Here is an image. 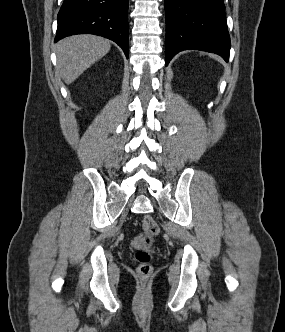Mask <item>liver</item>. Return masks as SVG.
<instances>
[{
  "mask_svg": "<svg viewBox=\"0 0 285 332\" xmlns=\"http://www.w3.org/2000/svg\"><path fill=\"white\" fill-rule=\"evenodd\" d=\"M110 41L96 35H74L56 46L57 71L66 84L74 82L86 69L110 50Z\"/></svg>",
  "mask_w": 285,
  "mask_h": 332,
  "instance_id": "1",
  "label": "liver"
}]
</instances>
